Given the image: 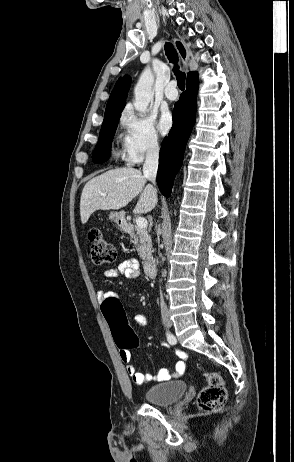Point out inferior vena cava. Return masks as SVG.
Returning a JSON list of instances; mask_svg holds the SVG:
<instances>
[{
  "label": "inferior vena cava",
  "instance_id": "obj_1",
  "mask_svg": "<svg viewBox=\"0 0 294 462\" xmlns=\"http://www.w3.org/2000/svg\"><path fill=\"white\" fill-rule=\"evenodd\" d=\"M158 160H159V145L157 142H153L150 144V146L147 149L146 159L143 165V174L145 178L151 181L154 185L156 183ZM154 193L156 196V189H154ZM160 308H161L162 314H166L168 312V308L164 301L162 292H160Z\"/></svg>",
  "mask_w": 294,
  "mask_h": 462
}]
</instances>
